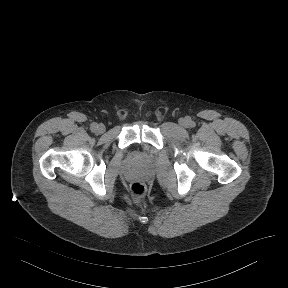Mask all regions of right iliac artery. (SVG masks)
I'll return each mask as SVG.
<instances>
[{
    "mask_svg": "<svg viewBox=\"0 0 288 288\" xmlns=\"http://www.w3.org/2000/svg\"><path fill=\"white\" fill-rule=\"evenodd\" d=\"M96 128H97V124H96V123H93V124L91 125V129L94 131V130H96Z\"/></svg>",
    "mask_w": 288,
    "mask_h": 288,
    "instance_id": "right-iliac-artery-1",
    "label": "right iliac artery"
}]
</instances>
